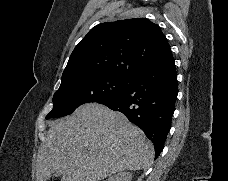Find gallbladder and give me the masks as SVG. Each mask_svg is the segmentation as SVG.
I'll return each mask as SVG.
<instances>
[{
    "instance_id": "bac80fb5",
    "label": "gallbladder",
    "mask_w": 228,
    "mask_h": 181,
    "mask_svg": "<svg viewBox=\"0 0 228 181\" xmlns=\"http://www.w3.org/2000/svg\"><path fill=\"white\" fill-rule=\"evenodd\" d=\"M55 177H60L61 173H54Z\"/></svg>"
}]
</instances>
